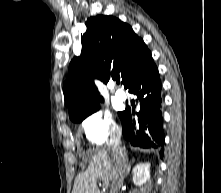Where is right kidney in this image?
I'll return each instance as SVG.
<instances>
[{
    "mask_svg": "<svg viewBox=\"0 0 221 193\" xmlns=\"http://www.w3.org/2000/svg\"><path fill=\"white\" fill-rule=\"evenodd\" d=\"M132 173L134 184L141 186L150 179V164L139 163L133 168Z\"/></svg>",
    "mask_w": 221,
    "mask_h": 193,
    "instance_id": "obj_1",
    "label": "right kidney"
}]
</instances>
